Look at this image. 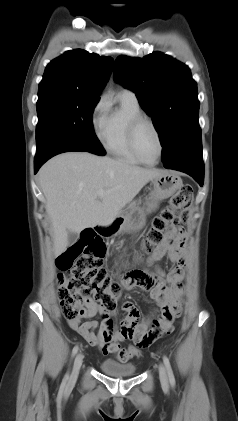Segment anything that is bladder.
<instances>
[{
    "label": "bladder",
    "instance_id": "1",
    "mask_svg": "<svg viewBox=\"0 0 238 421\" xmlns=\"http://www.w3.org/2000/svg\"><path fill=\"white\" fill-rule=\"evenodd\" d=\"M100 369L112 377H130L136 373L134 364H122L112 359H105L100 362Z\"/></svg>",
    "mask_w": 238,
    "mask_h": 421
}]
</instances>
